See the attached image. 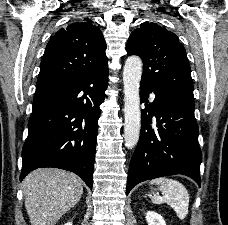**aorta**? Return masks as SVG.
I'll use <instances>...</instances> for the list:
<instances>
[{"mask_svg": "<svg viewBox=\"0 0 228 225\" xmlns=\"http://www.w3.org/2000/svg\"><path fill=\"white\" fill-rule=\"evenodd\" d=\"M142 60L139 56H128L124 70V141L127 149L136 147L141 129L139 86L142 74Z\"/></svg>", "mask_w": 228, "mask_h": 225, "instance_id": "1", "label": "aorta"}]
</instances>
